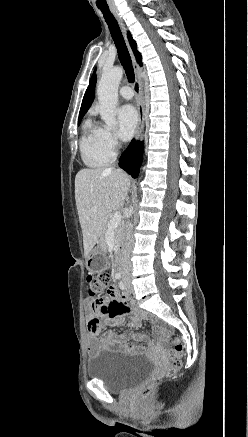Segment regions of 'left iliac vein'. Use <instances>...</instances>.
<instances>
[{
	"mask_svg": "<svg viewBox=\"0 0 248 437\" xmlns=\"http://www.w3.org/2000/svg\"><path fill=\"white\" fill-rule=\"evenodd\" d=\"M124 284H125L127 291L130 293H133V286H132L131 281L128 277L124 278Z\"/></svg>",
	"mask_w": 248,
	"mask_h": 437,
	"instance_id": "4c4485c4",
	"label": "left iliac vein"
}]
</instances>
